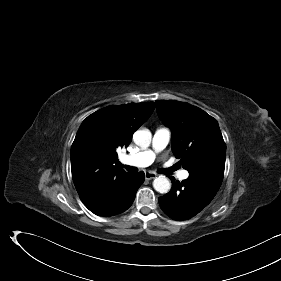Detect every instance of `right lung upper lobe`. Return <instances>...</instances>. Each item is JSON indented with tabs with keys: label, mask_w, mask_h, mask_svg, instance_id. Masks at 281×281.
Segmentation results:
<instances>
[{
	"label": "right lung upper lobe",
	"mask_w": 281,
	"mask_h": 281,
	"mask_svg": "<svg viewBox=\"0 0 281 281\" xmlns=\"http://www.w3.org/2000/svg\"><path fill=\"white\" fill-rule=\"evenodd\" d=\"M154 108V102L112 105L82 122L71 147V171L83 203L100 197L128 174L116 164V150L130 144Z\"/></svg>",
	"instance_id": "1"
}]
</instances>
